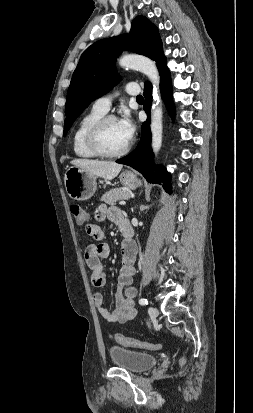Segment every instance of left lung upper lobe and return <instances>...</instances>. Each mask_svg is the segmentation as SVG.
Segmentation results:
<instances>
[{
	"instance_id": "5c2ea615",
	"label": "left lung upper lobe",
	"mask_w": 253,
	"mask_h": 413,
	"mask_svg": "<svg viewBox=\"0 0 253 413\" xmlns=\"http://www.w3.org/2000/svg\"><path fill=\"white\" fill-rule=\"evenodd\" d=\"M124 49L155 60L157 67L166 59L157 28L144 16H137L132 21L129 35L99 40L89 46L83 52L68 88L64 136L92 100L118 83L114 62Z\"/></svg>"
}]
</instances>
